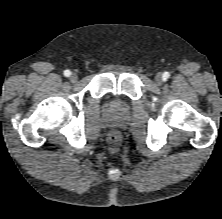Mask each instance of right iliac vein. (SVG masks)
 Wrapping results in <instances>:
<instances>
[{
  "label": "right iliac vein",
  "mask_w": 222,
  "mask_h": 219,
  "mask_svg": "<svg viewBox=\"0 0 222 219\" xmlns=\"http://www.w3.org/2000/svg\"><path fill=\"white\" fill-rule=\"evenodd\" d=\"M78 80V75H77V73H72L71 75H70V81L71 82H76Z\"/></svg>",
  "instance_id": "1"
}]
</instances>
